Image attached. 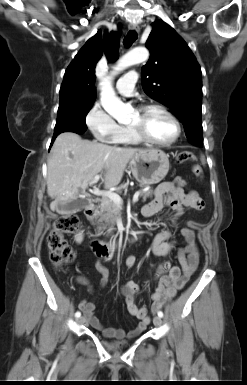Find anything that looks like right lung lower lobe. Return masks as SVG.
Listing matches in <instances>:
<instances>
[{"mask_svg":"<svg viewBox=\"0 0 247 385\" xmlns=\"http://www.w3.org/2000/svg\"><path fill=\"white\" fill-rule=\"evenodd\" d=\"M75 133H77V134H83V133H84V131H77V132H75ZM57 136H58V135H57ZM57 136H53V139H52L51 145H52V143L54 142V140H55V138H56Z\"/></svg>","mask_w":247,"mask_h":385,"instance_id":"obj_1","label":"right lung lower lobe"}]
</instances>
